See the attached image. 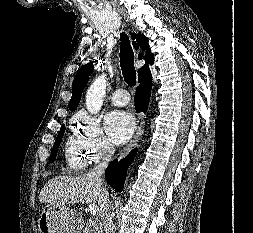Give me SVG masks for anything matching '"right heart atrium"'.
I'll use <instances>...</instances> for the list:
<instances>
[{
    "label": "right heart atrium",
    "instance_id": "right-heart-atrium-1",
    "mask_svg": "<svg viewBox=\"0 0 253 233\" xmlns=\"http://www.w3.org/2000/svg\"><path fill=\"white\" fill-rule=\"evenodd\" d=\"M74 130L89 161H101L113 150L103 132L100 121L88 113L82 111L75 116Z\"/></svg>",
    "mask_w": 253,
    "mask_h": 233
}]
</instances>
